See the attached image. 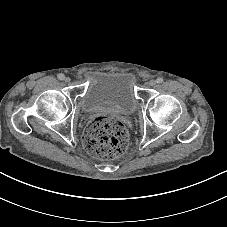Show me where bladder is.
Returning <instances> with one entry per match:
<instances>
[{"label":"bladder","mask_w":227,"mask_h":227,"mask_svg":"<svg viewBox=\"0 0 227 227\" xmlns=\"http://www.w3.org/2000/svg\"><path fill=\"white\" fill-rule=\"evenodd\" d=\"M135 77L130 72H91L79 106L83 115L110 110L121 117L133 114L138 106Z\"/></svg>","instance_id":"31cf9c89"}]
</instances>
